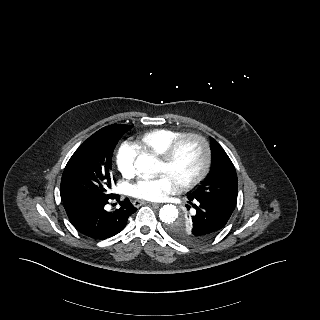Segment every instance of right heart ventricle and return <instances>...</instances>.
I'll use <instances>...</instances> for the list:
<instances>
[{"instance_id": "e07e8e85", "label": "right heart ventricle", "mask_w": 320, "mask_h": 320, "mask_svg": "<svg viewBox=\"0 0 320 320\" xmlns=\"http://www.w3.org/2000/svg\"><path fill=\"white\" fill-rule=\"evenodd\" d=\"M182 133L168 128L153 129L140 135L136 144L143 151L160 156Z\"/></svg>"}]
</instances>
